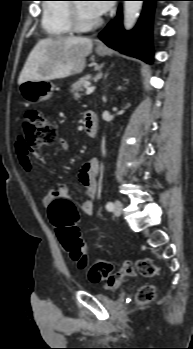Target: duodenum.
<instances>
[{
  "label": "duodenum",
  "mask_w": 193,
  "mask_h": 349,
  "mask_svg": "<svg viewBox=\"0 0 193 349\" xmlns=\"http://www.w3.org/2000/svg\"><path fill=\"white\" fill-rule=\"evenodd\" d=\"M97 125L98 121L96 114L93 112H87L85 115V132L89 137L95 138Z\"/></svg>",
  "instance_id": "obj_1"
}]
</instances>
